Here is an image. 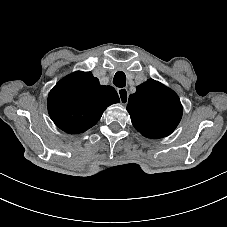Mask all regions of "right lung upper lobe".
I'll list each match as a JSON object with an SVG mask.
<instances>
[{
	"label": "right lung upper lobe",
	"mask_w": 227,
	"mask_h": 227,
	"mask_svg": "<svg viewBox=\"0 0 227 227\" xmlns=\"http://www.w3.org/2000/svg\"><path fill=\"white\" fill-rule=\"evenodd\" d=\"M119 102L115 89L102 86L91 72H74L50 91L48 112L58 128L70 133H83L94 126L104 110Z\"/></svg>",
	"instance_id": "obj_1"
}]
</instances>
